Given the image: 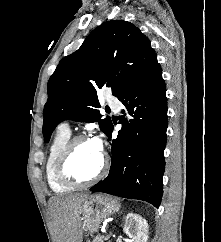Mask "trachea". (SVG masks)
<instances>
[{
    "label": "trachea",
    "instance_id": "obj_1",
    "mask_svg": "<svg viewBox=\"0 0 221 242\" xmlns=\"http://www.w3.org/2000/svg\"><path fill=\"white\" fill-rule=\"evenodd\" d=\"M107 112H110V109H106Z\"/></svg>",
    "mask_w": 221,
    "mask_h": 242
}]
</instances>
